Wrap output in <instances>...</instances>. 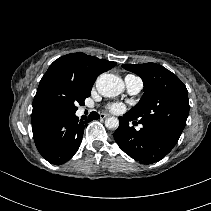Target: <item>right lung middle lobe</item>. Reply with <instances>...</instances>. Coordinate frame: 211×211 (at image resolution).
I'll list each match as a JSON object with an SVG mask.
<instances>
[{"label": "right lung middle lobe", "instance_id": "right-lung-middle-lobe-1", "mask_svg": "<svg viewBox=\"0 0 211 211\" xmlns=\"http://www.w3.org/2000/svg\"><path fill=\"white\" fill-rule=\"evenodd\" d=\"M91 89H81L75 86L58 87L50 92L47 107L52 117L75 113L77 104L83 105L90 96Z\"/></svg>", "mask_w": 211, "mask_h": 211}]
</instances>
